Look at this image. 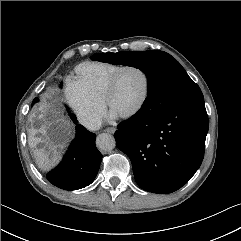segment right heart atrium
<instances>
[{
  "label": "right heart atrium",
  "mask_w": 241,
  "mask_h": 241,
  "mask_svg": "<svg viewBox=\"0 0 241 241\" xmlns=\"http://www.w3.org/2000/svg\"><path fill=\"white\" fill-rule=\"evenodd\" d=\"M66 99L84 126L96 129L100 125L105 112L104 103L92 97L77 80L67 86Z\"/></svg>",
  "instance_id": "right-heart-atrium-1"
}]
</instances>
